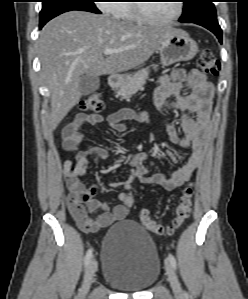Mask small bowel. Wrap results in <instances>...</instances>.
Listing matches in <instances>:
<instances>
[{
  "mask_svg": "<svg viewBox=\"0 0 248 299\" xmlns=\"http://www.w3.org/2000/svg\"><path fill=\"white\" fill-rule=\"evenodd\" d=\"M185 87L190 88V92H185ZM213 85L208 81L205 74L193 69L190 71L178 69L169 76L161 78L158 87L154 92V102L159 110L175 111L181 114V127L185 133L184 138H180L176 128L166 123V129L169 139L173 143H179L181 146L191 148V155L188 161L172 176L165 177L161 173L149 174L145 163L149 158L146 152L135 153L129 160L132 168L131 174L124 178L120 185L124 191H129L135 180L140 179L146 185H159L167 191H172L184 183L188 182L195 171L202 165L204 159V147L209 137L210 131V112L212 106ZM174 96L175 99L170 98ZM134 115L126 110H120L109 115L106 119L107 125L117 131H124L127 126V120ZM139 120L146 121L144 115L136 116ZM103 122L100 115L79 114L63 130V147H76L83 139L84 125H97ZM172 160L177 161V157L168 153ZM107 151L100 147H90L80 150L77 153V163L73 173H67V181L70 178L83 177L88 166V158H104ZM66 166L71 164L68 159ZM96 188L94 186H85L83 184V194L86 198L88 210L94 211L101 209L96 217L92 218L87 213L83 218L74 217L78 227L86 233H94L102 228L110 226L113 222L122 220L128 213V207L124 201L128 197L126 192L119 194L118 199L122 204L117 205L113 211L107 209V205L95 199Z\"/></svg>",
  "mask_w": 248,
  "mask_h": 299,
  "instance_id": "obj_1",
  "label": "small bowel"
}]
</instances>
